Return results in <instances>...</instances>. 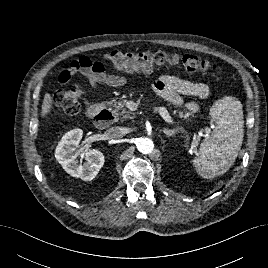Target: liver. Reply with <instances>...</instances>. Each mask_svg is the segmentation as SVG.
I'll return each mask as SVG.
<instances>
[{"label":"liver","mask_w":268,"mask_h":268,"mask_svg":"<svg viewBox=\"0 0 268 268\" xmlns=\"http://www.w3.org/2000/svg\"><path fill=\"white\" fill-rule=\"evenodd\" d=\"M53 97L51 94L46 93L42 103L41 116L44 118L52 110Z\"/></svg>","instance_id":"1"}]
</instances>
